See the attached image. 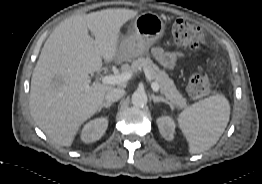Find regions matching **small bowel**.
I'll use <instances>...</instances> for the list:
<instances>
[{
	"label": "small bowel",
	"mask_w": 262,
	"mask_h": 184,
	"mask_svg": "<svg viewBox=\"0 0 262 184\" xmlns=\"http://www.w3.org/2000/svg\"><path fill=\"white\" fill-rule=\"evenodd\" d=\"M152 53L156 60L165 68L172 69L184 59V54L180 51L167 52L160 47H154Z\"/></svg>",
	"instance_id": "c3829d8e"
}]
</instances>
